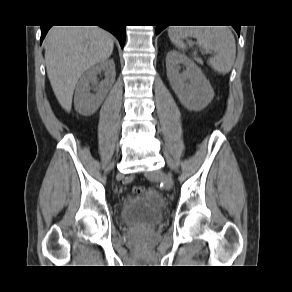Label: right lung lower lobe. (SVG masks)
<instances>
[{
    "label": "right lung lower lobe",
    "instance_id": "right-lung-lower-lobe-1",
    "mask_svg": "<svg viewBox=\"0 0 292 292\" xmlns=\"http://www.w3.org/2000/svg\"><path fill=\"white\" fill-rule=\"evenodd\" d=\"M104 29L110 31L112 34H114L120 41L121 46L123 47L125 42V26L123 25H101ZM50 27L41 26V41H43L47 31Z\"/></svg>",
    "mask_w": 292,
    "mask_h": 292
}]
</instances>
